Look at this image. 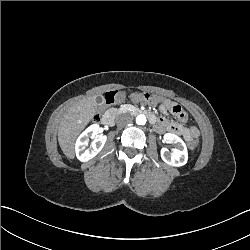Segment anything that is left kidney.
<instances>
[{"label":"left kidney","instance_id":"left-kidney-1","mask_svg":"<svg viewBox=\"0 0 250 250\" xmlns=\"http://www.w3.org/2000/svg\"><path fill=\"white\" fill-rule=\"evenodd\" d=\"M163 142L175 145L173 153H170L166 147H161L160 154L163 161L171 166H183L187 163V147L180 137L172 133H166L163 135Z\"/></svg>","mask_w":250,"mask_h":250}]
</instances>
